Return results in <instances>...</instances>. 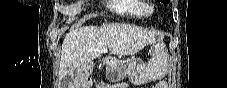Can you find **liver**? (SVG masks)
<instances>
[{
    "instance_id": "1",
    "label": "liver",
    "mask_w": 227,
    "mask_h": 88,
    "mask_svg": "<svg viewBox=\"0 0 227 88\" xmlns=\"http://www.w3.org/2000/svg\"><path fill=\"white\" fill-rule=\"evenodd\" d=\"M156 36V32L122 23H105L71 31L63 40L59 78L90 64L107 49L117 55H134L146 45L159 41Z\"/></svg>"
}]
</instances>
